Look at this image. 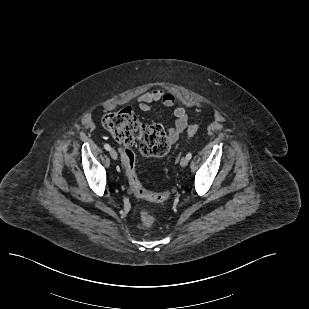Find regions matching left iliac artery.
I'll return each mask as SVG.
<instances>
[{"label": "left iliac artery", "instance_id": "44dca946", "mask_svg": "<svg viewBox=\"0 0 309 309\" xmlns=\"http://www.w3.org/2000/svg\"><path fill=\"white\" fill-rule=\"evenodd\" d=\"M186 157H187L188 160H190L192 158V154L189 152V153H187Z\"/></svg>", "mask_w": 309, "mask_h": 309}]
</instances>
